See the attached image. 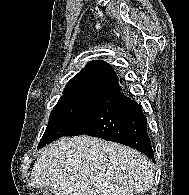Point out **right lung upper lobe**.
<instances>
[{"instance_id": "right-lung-upper-lobe-1", "label": "right lung upper lobe", "mask_w": 189, "mask_h": 195, "mask_svg": "<svg viewBox=\"0 0 189 195\" xmlns=\"http://www.w3.org/2000/svg\"><path fill=\"white\" fill-rule=\"evenodd\" d=\"M121 90L112 67L101 60L89 62L66 85L63 92L89 91L111 95Z\"/></svg>"}]
</instances>
